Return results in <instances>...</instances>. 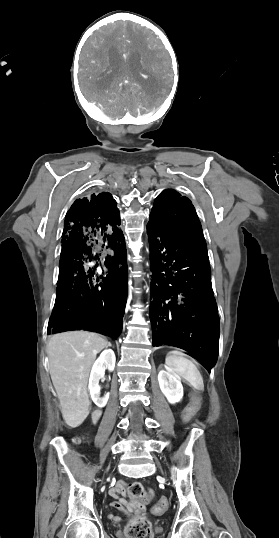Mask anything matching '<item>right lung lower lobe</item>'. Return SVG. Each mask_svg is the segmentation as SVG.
<instances>
[{
    "instance_id": "98d812e1",
    "label": "right lung lower lobe",
    "mask_w": 279,
    "mask_h": 538,
    "mask_svg": "<svg viewBox=\"0 0 279 538\" xmlns=\"http://www.w3.org/2000/svg\"><path fill=\"white\" fill-rule=\"evenodd\" d=\"M119 226V210L108 192L77 199L70 207L48 334L83 329L120 335L128 280Z\"/></svg>"
}]
</instances>
